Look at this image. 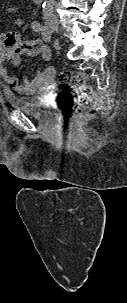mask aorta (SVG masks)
<instances>
[{
    "instance_id": "762f6f07",
    "label": "aorta",
    "mask_w": 127,
    "mask_h": 303,
    "mask_svg": "<svg viewBox=\"0 0 127 303\" xmlns=\"http://www.w3.org/2000/svg\"><path fill=\"white\" fill-rule=\"evenodd\" d=\"M55 4V0H45L44 6L45 7H53Z\"/></svg>"
}]
</instances>
